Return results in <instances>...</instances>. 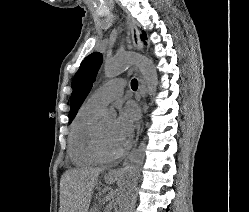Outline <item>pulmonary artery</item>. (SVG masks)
Wrapping results in <instances>:
<instances>
[{
    "instance_id": "e3ab8cb5",
    "label": "pulmonary artery",
    "mask_w": 249,
    "mask_h": 212,
    "mask_svg": "<svg viewBox=\"0 0 249 212\" xmlns=\"http://www.w3.org/2000/svg\"><path fill=\"white\" fill-rule=\"evenodd\" d=\"M124 88L125 80L123 78L112 79L95 90L88 101L102 109L111 101L121 97L124 93Z\"/></svg>"
}]
</instances>
